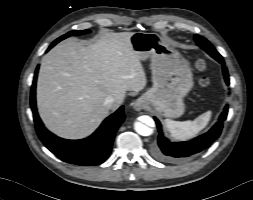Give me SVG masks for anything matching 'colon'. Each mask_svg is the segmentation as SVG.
<instances>
[{
	"mask_svg": "<svg viewBox=\"0 0 253 200\" xmlns=\"http://www.w3.org/2000/svg\"><path fill=\"white\" fill-rule=\"evenodd\" d=\"M196 68H197L199 71H201V72L205 71V69H206V63H205V61H204L203 59H198V60L196 61ZM199 84H200L201 87L206 88V87L209 86L210 80H209L208 77H202V78L199 80Z\"/></svg>",
	"mask_w": 253,
	"mask_h": 200,
	"instance_id": "5ec220e1",
	"label": "colon"
}]
</instances>
